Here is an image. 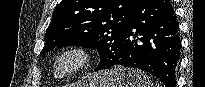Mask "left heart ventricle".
<instances>
[{
	"mask_svg": "<svg viewBox=\"0 0 205 87\" xmlns=\"http://www.w3.org/2000/svg\"><path fill=\"white\" fill-rule=\"evenodd\" d=\"M73 64V59L70 57L64 58L61 60L58 64V70L60 72H63L67 70L71 65Z\"/></svg>",
	"mask_w": 205,
	"mask_h": 87,
	"instance_id": "1",
	"label": "left heart ventricle"
}]
</instances>
